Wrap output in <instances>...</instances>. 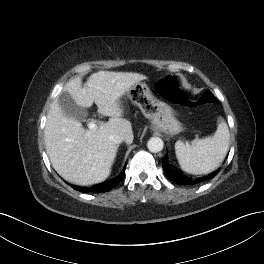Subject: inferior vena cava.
Listing matches in <instances>:
<instances>
[{
  "instance_id": "602c4592",
  "label": "inferior vena cava",
  "mask_w": 264,
  "mask_h": 264,
  "mask_svg": "<svg viewBox=\"0 0 264 264\" xmlns=\"http://www.w3.org/2000/svg\"><path fill=\"white\" fill-rule=\"evenodd\" d=\"M109 140L114 142V143H121L123 140H125V138L121 135H111L109 136Z\"/></svg>"
}]
</instances>
